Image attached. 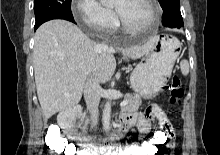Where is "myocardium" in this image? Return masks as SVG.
Wrapping results in <instances>:
<instances>
[{"mask_svg":"<svg viewBox=\"0 0 220 155\" xmlns=\"http://www.w3.org/2000/svg\"><path fill=\"white\" fill-rule=\"evenodd\" d=\"M144 1L149 6L150 19H149V22L143 27H140V28L131 27L123 20L121 15L116 11L119 24L124 31L129 32V33H144L156 25V23L158 22V7L156 4V0H144Z\"/></svg>","mask_w":220,"mask_h":155,"instance_id":"myocardium-1","label":"myocardium"}]
</instances>
